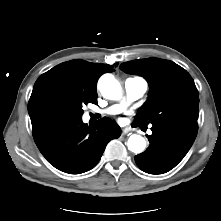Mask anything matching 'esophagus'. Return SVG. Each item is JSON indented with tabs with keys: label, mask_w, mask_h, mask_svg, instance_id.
<instances>
[{
	"label": "esophagus",
	"mask_w": 221,
	"mask_h": 221,
	"mask_svg": "<svg viewBox=\"0 0 221 221\" xmlns=\"http://www.w3.org/2000/svg\"><path fill=\"white\" fill-rule=\"evenodd\" d=\"M130 132V130L128 129V128H123L122 129V134L123 135H126V134H128Z\"/></svg>",
	"instance_id": "1"
}]
</instances>
